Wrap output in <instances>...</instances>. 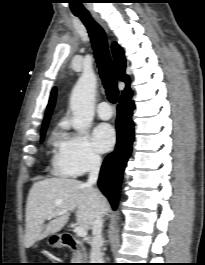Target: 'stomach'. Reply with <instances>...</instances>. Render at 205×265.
I'll use <instances>...</instances> for the list:
<instances>
[{
  "label": "stomach",
  "mask_w": 205,
  "mask_h": 265,
  "mask_svg": "<svg viewBox=\"0 0 205 265\" xmlns=\"http://www.w3.org/2000/svg\"><path fill=\"white\" fill-rule=\"evenodd\" d=\"M47 244L53 248H60L63 245L62 236L57 233L49 235Z\"/></svg>",
  "instance_id": "obj_1"
}]
</instances>
